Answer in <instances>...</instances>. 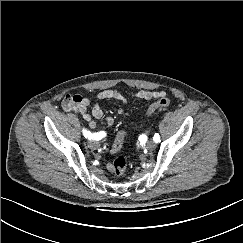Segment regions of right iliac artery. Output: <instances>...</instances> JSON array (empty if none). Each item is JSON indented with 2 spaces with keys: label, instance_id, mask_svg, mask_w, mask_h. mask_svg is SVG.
I'll list each match as a JSON object with an SVG mask.
<instances>
[{
  "label": "right iliac artery",
  "instance_id": "82829eb1",
  "mask_svg": "<svg viewBox=\"0 0 243 243\" xmlns=\"http://www.w3.org/2000/svg\"><path fill=\"white\" fill-rule=\"evenodd\" d=\"M83 135L88 140H100L104 137V132H98L92 134L91 132L87 131L86 129H83Z\"/></svg>",
  "mask_w": 243,
  "mask_h": 243
}]
</instances>
